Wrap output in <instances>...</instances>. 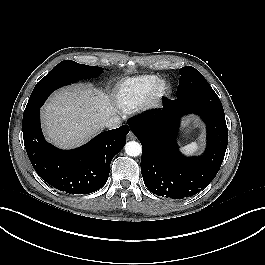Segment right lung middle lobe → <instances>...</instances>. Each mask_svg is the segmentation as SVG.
I'll return each instance as SVG.
<instances>
[{
  "label": "right lung middle lobe",
  "instance_id": "right-lung-middle-lobe-1",
  "mask_svg": "<svg viewBox=\"0 0 265 265\" xmlns=\"http://www.w3.org/2000/svg\"><path fill=\"white\" fill-rule=\"evenodd\" d=\"M103 72V68L65 60L56 65L35 86L23 116H27L42 106L47 97L57 88L68 85L80 79L96 77Z\"/></svg>",
  "mask_w": 265,
  "mask_h": 265
}]
</instances>
